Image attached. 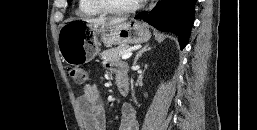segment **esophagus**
Masks as SVG:
<instances>
[{"mask_svg":"<svg viewBox=\"0 0 257 130\" xmlns=\"http://www.w3.org/2000/svg\"><path fill=\"white\" fill-rule=\"evenodd\" d=\"M157 3V0H151V3L149 5V10L153 9Z\"/></svg>","mask_w":257,"mask_h":130,"instance_id":"obj_1","label":"esophagus"}]
</instances>
